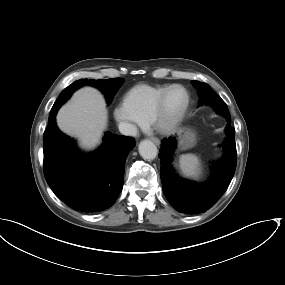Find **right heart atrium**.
Wrapping results in <instances>:
<instances>
[{"mask_svg":"<svg viewBox=\"0 0 285 285\" xmlns=\"http://www.w3.org/2000/svg\"><path fill=\"white\" fill-rule=\"evenodd\" d=\"M113 118L123 134H134L141 124L124 101L113 109Z\"/></svg>","mask_w":285,"mask_h":285,"instance_id":"right-heart-atrium-1","label":"right heart atrium"}]
</instances>
